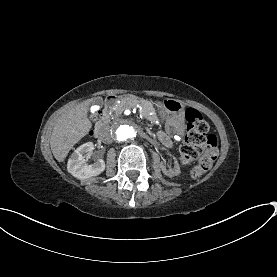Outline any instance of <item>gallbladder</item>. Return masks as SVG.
<instances>
[{
  "mask_svg": "<svg viewBox=\"0 0 277 277\" xmlns=\"http://www.w3.org/2000/svg\"><path fill=\"white\" fill-rule=\"evenodd\" d=\"M94 101H95V103L103 104V99L102 98H96Z\"/></svg>",
  "mask_w": 277,
  "mask_h": 277,
  "instance_id": "obj_1",
  "label": "gallbladder"
}]
</instances>
